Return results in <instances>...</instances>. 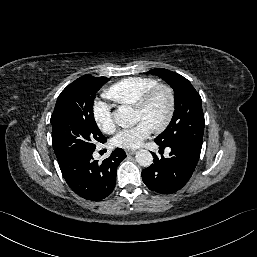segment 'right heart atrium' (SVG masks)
Wrapping results in <instances>:
<instances>
[{
    "label": "right heart atrium",
    "instance_id": "obj_1",
    "mask_svg": "<svg viewBox=\"0 0 257 257\" xmlns=\"http://www.w3.org/2000/svg\"><path fill=\"white\" fill-rule=\"evenodd\" d=\"M94 120L98 128L106 134L112 133L115 129L113 117L107 109L105 110L104 114L96 111L95 109Z\"/></svg>",
    "mask_w": 257,
    "mask_h": 257
}]
</instances>
